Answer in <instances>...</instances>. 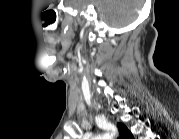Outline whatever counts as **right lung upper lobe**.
I'll list each match as a JSON object with an SVG mask.
<instances>
[{
	"mask_svg": "<svg viewBox=\"0 0 179 139\" xmlns=\"http://www.w3.org/2000/svg\"><path fill=\"white\" fill-rule=\"evenodd\" d=\"M118 128L120 131V138L121 139H133L131 132L126 128V126L122 123L118 124Z\"/></svg>",
	"mask_w": 179,
	"mask_h": 139,
	"instance_id": "1",
	"label": "right lung upper lobe"
}]
</instances>
